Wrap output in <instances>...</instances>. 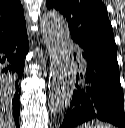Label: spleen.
Returning <instances> with one entry per match:
<instances>
[{"instance_id": "obj_1", "label": "spleen", "mask_w": 125, "mask_h": 128, "mask_svg": "<svg viewBox=\"0 0 125 128\" xmlns=\"http://www.w3.org/2000/svg\"><path fill=\"white\" fill-rule=\"evenodd\" d=\"M79 128H113V127L108 123L94 120L81 125Z\"/></svg>"}]
</instances>
